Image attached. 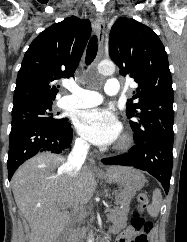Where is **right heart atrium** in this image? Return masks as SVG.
Returning a JSON list of instances; mask_svg holds the SVG:
<instances>
[{
	"label": "right heart atrium",
	"instance_id": "1",
	"mask_svg": "<svg viewBox=\"0 0 187 242\" xmlns=\"http://www.w3.org/2000/svg\"><path fill=\"white\" fill-rule=\"evenodd\" d=\"M76 145L81 149H84L86 147V143L81 138H77Z\"/></svg>",
	"mask_w": 187,
	"mask_h": 242
}]
</instances>
